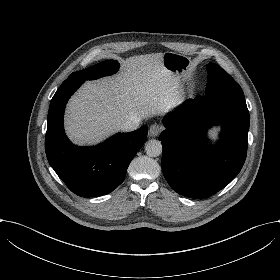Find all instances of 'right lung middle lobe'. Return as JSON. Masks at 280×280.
Listing matches in <instances>:
<instances>
[{"mask_svg": "<svg viewBox=\"0 0 280 280\" xmlns=\"http://www.w3.org/2000/svg\"><path fill=\"white\" fill-rule=\"evenodd\" d=\"M119 64L115 60H107L84 70L72 73L69 78L93 80L117 72Z\"/></svg>", "mask_w": 280, "mask_h": 280, "instance_id": "dd1d6c3e", "label": "right lung middle lobe"}]
</instances>
